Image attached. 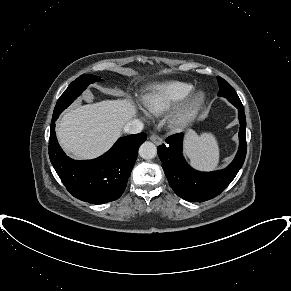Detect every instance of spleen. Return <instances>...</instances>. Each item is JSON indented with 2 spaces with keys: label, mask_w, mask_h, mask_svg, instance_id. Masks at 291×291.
I'll return each instance as SVG.
<instances>
[{
  "label": "spleen",
  "mask_w": 291,
  "mask_h": 291,
  "mask_svg": "<svg viewBox=\"0 0 291 291\" xmlns=\"http://www.w3.org/2000/svg\"><path fill=\"white\" fill-rule=\"evenodd\" d=\"M185 152L192 165L200 170H214L219 163L220 150L213 134L201 136L190 132L185 141Z\"/></svg>",
  "instance_id": "spleen-1"
}]
</instances>
